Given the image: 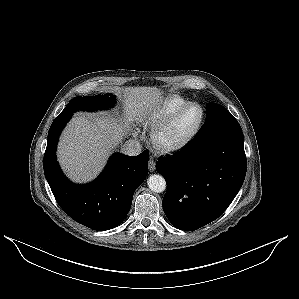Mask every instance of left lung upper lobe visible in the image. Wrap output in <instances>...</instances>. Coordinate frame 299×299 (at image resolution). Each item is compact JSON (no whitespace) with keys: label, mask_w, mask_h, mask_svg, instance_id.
Segmentation results:
<instances>
[{"label":"left lung upper lobe","mask_w":299,"mask_h":299,"mask_svg":"<svg viewBox=\"0 0 299 299\" xmlns=\"http://www.w3.org/2000/svg\"><path fill=\"white\" fill-rule=\"evenodd\" d=\"M231 113L222 105L216 103H208L206 106V121L196 136L201 135L206 129L217 123L221 118Z\"/></svg>","instance_id":"1"}]
</instances>
